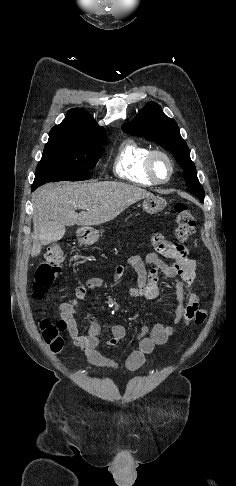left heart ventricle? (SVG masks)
I'll return each instance as SVG.
<instances>
[{
  "mask_svg": "<svg viewBox=\"0 0 236 486\" xmlns=\"http://www.w3.org/2000/svg\"><path fill=\"white\" fill-rule=\"evenodd\" d=\"M153 170L157 178L165 179L169 174V165L162 157H156L153 162Z\"/></svg>",
  "mask_w": 236,
  "mask_h": 486,
  "instance_id": "left-heart-ventricle-1",
  "label": "left heart ventricle"
}]
</instances>
